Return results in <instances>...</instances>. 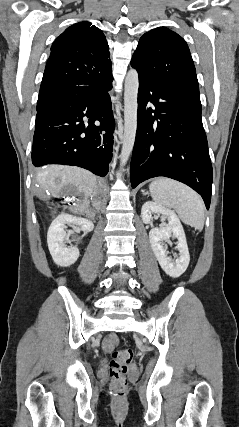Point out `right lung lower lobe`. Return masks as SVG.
<instances>
[{"label":"right lung lower lobe","mask_w":239,"mask_h":427,"mask_svg":"<svg viewBox=\"0 0 239 427\" xmlns=\"http://www.w3.org/2000/svg\"><path fill=\"white\" fill-rule=\"evenodd\" d=\"M113 76L94 85H71L38 98L32 163L76 165L105 176L112 159L115 122L108 91Z\"/></svg>","instance_id":"1"}]
</instances>
